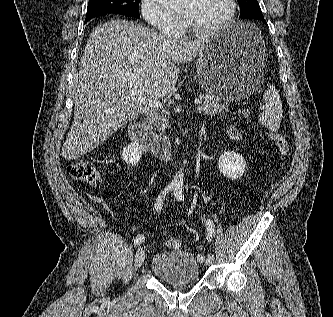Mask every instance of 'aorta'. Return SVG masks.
<instances>
[{"label":"aorta","mask_w":333,"mask_h":317,"mask_svg":"<svg viewBox=\"0 0 333 317\" xmlns=\"http://www.w3.org/2000/svg\"><path fill=\"white\" fill-rule=\"evenodd\" d=\"M163 6L167 8H174L181 5L185 0H158ZM184 181V172L183 169L179 170L174 179L173 183L177 185H182Z\"/></svg>","instance_id":"aorta-1"}]
</instances>
